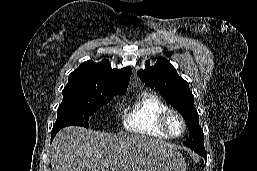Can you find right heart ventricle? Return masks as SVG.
Segmentation results:
<instances>
[{"label":"right heart ventricle","mask_w":257,"mask_h":171,"mask_svg":"<svg viewBox=\"0 0 257 171\" xmlns=\"http://www.w3.org/2000/svg\"><path fill=\"white\" fill-rule=\"evenodd\" d=\"M167 109L168 105L157 94L143 92L126 108L124 128L132 133L168 139L160 127V118Z\"/></svg>","instance_id":"1"}]
</instances>
